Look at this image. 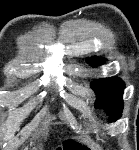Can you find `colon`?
<instances>
[{
	"label": "colon",
	"mask_w": 139,
	"mask_h": 150,
	"mask_svg": "<svg viewBox=\"0 0 139 150\" xmlns=\"http://www.w3.org/2000/svg\"><path fill=\"white\" fill-rule=\"evenodd\" d=\"M56 150H88L86 148L79 147L76 143L67 141L64 143L63 147H59Z\"/></svg>",
	"instance_id": "colon-1"
}]
</instances>
